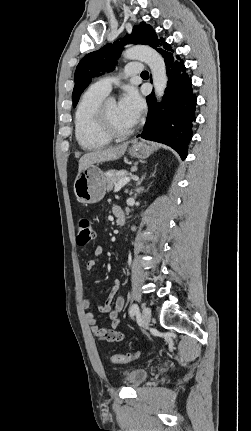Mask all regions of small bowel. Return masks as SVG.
<instances>
[{
    "instance_id": "c3829d8e",
    "label": "small bowel",
    "mask_w": 251,
    "mask_h": 431,
    "mask_svg": "<svg viewBox=\"0 0 251 431\" xmlns=\"http://www.w3.org/2000/svg\"><path fill=\"white\" fill-rule=\"evenodd\" d=\"M122 210L116 206L113 209L114 214L117 211ZM103 254V248L101 246L96 247L94 251L95 258L89 260L86 264L87 271H92L97 267L100 262V257ZM120 287V281L114 280L111 291L103 303L98 305V310L101 313L107 314L110 319V326L101 327L97 324L95 315L88 311L91 307V301L87 298H83L81 301L82 308L87 310L85 314V320L89 324L91 332L99 340L108 342H119L124 339V333L119 331L122 322L119 319V315L124 307V298L122 296H116V292Z\"/></svg>"
}]
</instances>
